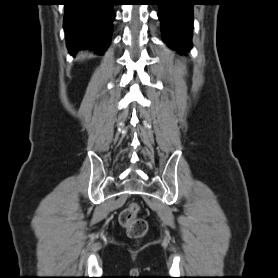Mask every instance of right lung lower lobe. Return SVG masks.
I'll return each mask as SVG.
<instances>
[{
  "label": "right lung lower lobe",
  "instance_id": "1",
  "mask_svg": "<svg viewBox=\"0 0 278 278\" xmlns=\"http://www.w3.org/2000/svg\"><path fill=\"white\" fill-rule=\"evenodd\" d=\"M64 30L71 54L79 50L102 53L111 42L113 0H64Z\"/></svg>",
  "mask_w": 278,
  "mask_h": 278
}]
</instances>
